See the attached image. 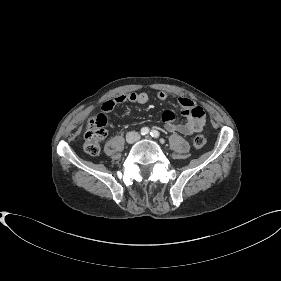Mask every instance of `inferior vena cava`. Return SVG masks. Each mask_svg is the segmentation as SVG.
<instances>
[{"instance_id": "inferior-vena-cava-1", "label": "inferior vena cava", "mask_w": 281, "mask_h": 281, "mask_svg": "<svg viewBox=\"0 0 281 281\" xmlns=\"http://www.w3.org/2000/svg\"><path fill=\"white\" fill-rule=\"evenodd\" d=\"M126 138L128 140L136 141L140 138V135L137 132H129Z\"/></svg>"}]
</instances>
